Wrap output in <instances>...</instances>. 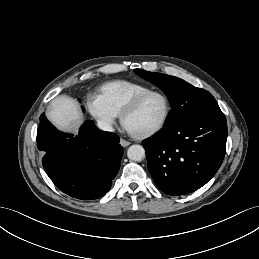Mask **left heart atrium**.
Listing matches in <instances>:
<instances>
[{
  "label": "left heart atrium",
  "mask_w": 259,
  "mask_h": 259,
  "mask_svg": "<svg viewBox=\"0 0 259 259\" xmlns=\"http://www.w3.org/2000/svg\"><path fill=\"white\" fill-rule=\"evenodd\" d=\"M125 130L129 133H132L126 126H124Z\"/></svg>",
  "instance_id": "1"
}]
</instances>
